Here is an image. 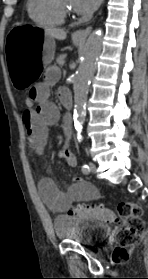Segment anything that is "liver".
<instances>
[{
  "mask_svg": "<svg viewBox=\"0 0 148 279\" xmlns=\"http://www.w3.org/2000/svg\"><path fill=\"white\" fill-rule=\"evenodd\" d=\"M44 31L46 35L52 39L64 40L66 39L67 33L63 29L54 28V27H45Z\"/></svg>",
  "mask_w": 148,
  "mask_h": 279,
  "instance_id": "obj_1",
  "label": "liver"
}]
</instances>
